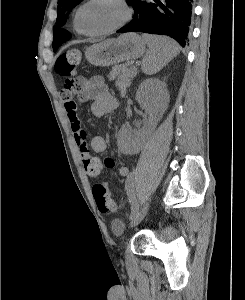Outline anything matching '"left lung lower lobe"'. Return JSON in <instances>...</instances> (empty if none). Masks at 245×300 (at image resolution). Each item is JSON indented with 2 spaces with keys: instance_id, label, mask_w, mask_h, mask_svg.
<instances>
[{
  "instance_id": "1",
  "label": "left lung lower lobe",
  "mask_w": 245,
  "mask_h": 300,
  "mask_svg": "<svg viewBox=\"0 0 245 300\" xmlns=\"http://www.w3.org/2000/svg\"><path fill=\"white\" fill-rule=\"evenodd\" d=\"M192 0H134L131 22L117 32H145L174 38L184 47L191 24Z\"/></svg>"
}]
</instances>
